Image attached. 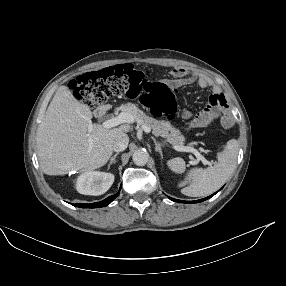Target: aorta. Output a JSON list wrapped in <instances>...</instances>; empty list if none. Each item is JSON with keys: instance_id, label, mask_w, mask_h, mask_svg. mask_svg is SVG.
I'll list each match as a JSON object with an SVG mask.
<instances>
[{"instance_id": "aorta-1", "label": "aorta", "mask_w": 286, "mask_h": 286, "mask_svg": "<svg viewBox=\"0 0 286 286\" xmlns=\"http://www.w3.org/2000/svg\"><path fill=\"white\" fill-rule=\"evenodd\" d=\"M133 162L138 166H144L148 162L149 154L146 149H137L132 156Z\"/></svg>"}]
</instances>
